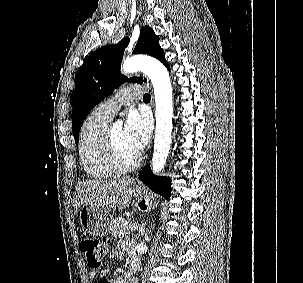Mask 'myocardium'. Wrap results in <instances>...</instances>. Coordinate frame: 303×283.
<instances>
[{"label": "myocardium", "mask_w": 303, "mask_h": 283, "mask_svg": "<svg viewBox=\"0 0 303 283\" xmlns=\"http://www.w3.org/2000/svg\"><path fill=\"white\" fill-rule=\"evenodd\" d=\"M104 150L110 167L117 173H125L134 170L140 163V156L137 154L131 162H124L118 152L112 135V126H108L104 136Z\"/></svg>", "instance_id": "1"}]
</instances>
